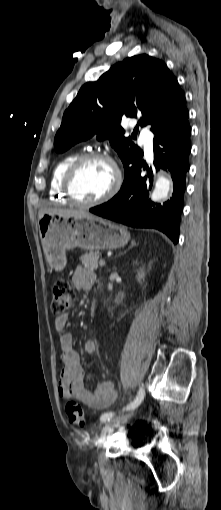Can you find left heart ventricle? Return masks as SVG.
Instances as JSON below:
<instances>
[{
	"mask_svg": "<svg viewBox=\"0 0 221 510\" xmlns=\"http://www.w3.org/2000/svg\"><path fill=\"white\" fill-rule=\"evenodd\" d=\"M114 171L103 160L86 162L76 174L73 191L82 201L96 200L105 195L114 184Z\"/></svg>",
	"mask_w": 221,
	"mask_h": 510,
	"instance_id": "left-heart-ventricle-1",
	"label": "left heart ventricle"
}]
</instances>
